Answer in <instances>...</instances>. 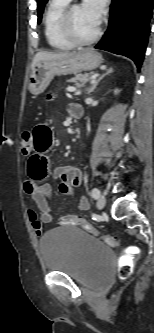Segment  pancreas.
Here are the masks:
<instances>
[{"label": "pancreas", "mask_w": 154, "mask_h": 333, "mask_svg": "<svg viewBox=\"0 0 154 333\" xmlns=\"http://www.w3.org/2000/svg\"><path fill=\"white\" fill-rule=\"evenodd\" d=\"M87 81V75L86 74H77L74 78H71L69 82H72L75 84L76 87H80L83 84H85Z\"/></svg>", "instance_id": "obj_1"}]
</instances>
